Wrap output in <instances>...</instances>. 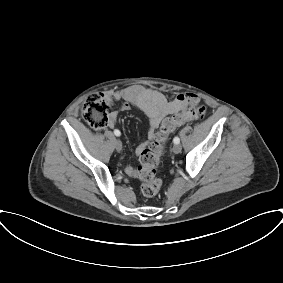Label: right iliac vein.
<instances>
[{"mask_svg": "<svg viewBox=\"0 0 283 283\" xmlns=\"http://www.w3.org/2000/svg\"><path fill=\"white\" fill-rule=\"evenodd\" d=\"M115 148L118 152L122 150V142L119 139L115 140Z\"/></svg>", "mask_w": 283, "mask_h": 283, "instance_id": "right-iliac-vein-1", "label": "right iliac vein"}]
</instances>
